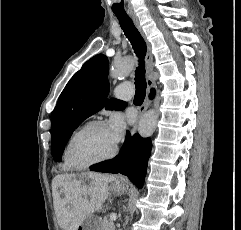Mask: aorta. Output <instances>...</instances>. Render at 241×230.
Segmentation results:
<instances>
[{
  "label": "aorta",
  "instance_id": "1",
  "mask_svg": "<svg viewBox=\"0 0 241 230\" xmlns=\"http://www.w3.org/2000/svg\"><path fill=\"white\" fill-rule=\"evenodd\" d=\"M134 68V59L125 57L115 61L110 69V76L113 79H124ZM158 113L154 110L147 111L140 119L138 132L142 137H150L156 129Z\"/></svg>",
  "mask_w": 241,
  "mask_h": 230
}]
</instances>
